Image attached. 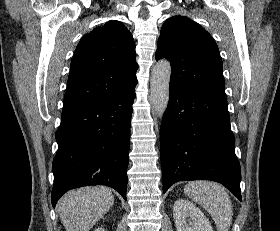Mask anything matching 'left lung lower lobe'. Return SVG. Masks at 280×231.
<instances>
[{"mask_svg":"<svg viewBox=\"0 0 280 231\" xmlns=\"http://www.w3.org/2000/svg\"><path fill=\"white\" fill-rule=\"evenodd\" d=\"M169 91L160 130L163 193L179 181L212 180L242 201L226 95L175 85Z\"/></svg>","mask_w":280,"mask_h":231,"instance_id":"0a47b994","label":"left lung lower lobe"}]
</instances>
